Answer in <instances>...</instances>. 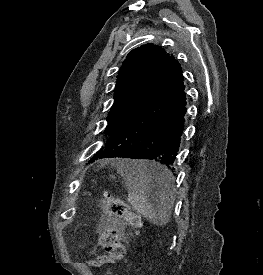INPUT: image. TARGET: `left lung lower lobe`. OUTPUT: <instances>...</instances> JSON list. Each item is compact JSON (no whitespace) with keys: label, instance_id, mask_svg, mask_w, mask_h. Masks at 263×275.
I'll return each instance as SVG.
<instances>
[{"label":"left lung lower lobe","instance_id":"left-lung-lower-lobe-1","mask_svg":"<svg viewBox=\"0 0 263 275\" xmlns=\"http://www.w3.org/2000/svg\"><path fill=\"white\" fill-rule=\"evenodd\" d=\"M180 64L175 59L158 84L147 94L127 121L110 136L91 161L123 157L148 159L172 168L184 130L186 92ZM154 183L167 177L153 170Z\"/></svg>","mask_w":263,"mask_h":275}]
</instances>
